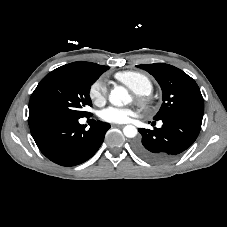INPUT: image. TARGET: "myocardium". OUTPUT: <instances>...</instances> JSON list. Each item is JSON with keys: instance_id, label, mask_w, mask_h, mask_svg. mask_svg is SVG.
<instances>
[{"instance_id": "f54148a6", "label": "myocardium", "mask_w": 227, "mask_h": 227, "mask_svg": "<svg viewBox=\"0 0 227 227\" xmlns=\"http://www.w3.org/2000/svg\"><path fill=\"white\" fill-rule=\"evenodd\" d=\"M137 100L140 103V105L146 109L151 108L153 105L152 99L148 96L140 95L137 97Z\"/></svg>"}]
</instances>
